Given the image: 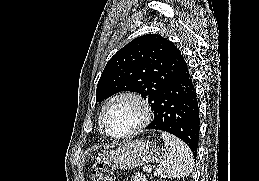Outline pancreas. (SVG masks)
Instances as JSON below:
<instances>
[{
	"label": "pancreas",
	"mask_w": 259,
	"mask_h": 181,
	"mask_svg": "<svg viewBox=\"0 0 259 181\" xmlns=\"http://www.w3.org/2000/svg\"><path fill=\"white\" fill-rule=\"evenodd\" d=\"M133 179H134V181H145V177L141 173H139V172H137L135 174Z\"/></svg>",
	"instance_id": "cf45deb5"
}]
</instances>
